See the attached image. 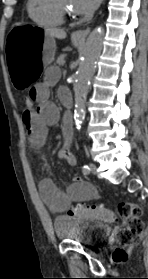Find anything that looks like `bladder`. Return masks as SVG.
Here are the masks:
<instances>
[{
	"label": "bladder",
	"instance_id": "bladder-1",
	"mask_svg": "<svg viewBox=\"0 0 148 279\" xmlns=\"http://www.w3.org/2000/svg\"><path fill=\"white\" fill-rule=\"evenodd\" d=\"M53 226L58 239L76 241L87 246L104 242L110 233V227L105 223L70 216L55 217Z\"/></svg>",
	"mask_w": 148,
	"mask_h": 279
}]
</instances>
